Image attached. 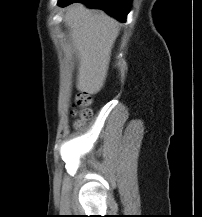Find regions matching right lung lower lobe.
I'll return each mask as SVG.
<instances>
[{
	"mask_svg": "<svg viewBox=\"0 0 202 217\" xmlns=\"http://www.w3.org/2000/svg\"><path fill=\"white\" fill-rule=\"evenodd\" d=\"M131 1L132 0H58V3L62 7L75 2L85 3L91 8L102 9L119 21L125 22Z\"/></svg>",
	"mask_w": 202,
	"mask_h": 217,
	"instance_id": "98d812e1",
	"label": "right lung lower lobe"
}]
</instances>
